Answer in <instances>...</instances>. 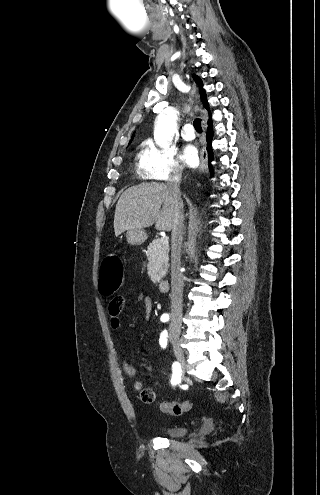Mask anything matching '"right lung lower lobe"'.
Returning a JSON list of instances; mask_svg holds the SVG:
<instances>
[{"label": "right lung lower lobe", "mask_w": 320, "mask_h": 495, "mask_svg": "<svg viewBox=\"0 0 320 495\" xmlns=\"http://www.w3.org/2000/svg\"><path fill=\"white\" fill-rule=\"evenodd\" d=\"M212 139H213V130H212V122H210V123H208V128H207V133H206V141H207V148L206 149L208 152L209 163H211V161L213 160V150L211 147ZM209 170H210L211 176H213V169H212L211 165H209Z\"/></svg>", "instance_id": "obj_1"}]
</instances>
